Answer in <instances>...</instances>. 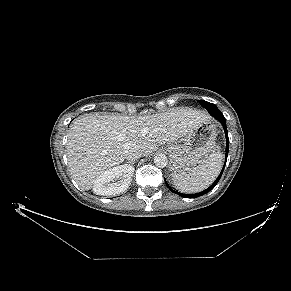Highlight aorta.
Returning <instances> with one entry per match:
<instances>
[{"label": "aorta", "mask_w": 291, "mask_h": 291, "mask_svg": "<svg viewBox=\"0 0 291 291\" xmlns=\"http://www.w3.org/2000/svg\"><path fill=\"white\" fill-rule=\"evenodd\" d=\"M154 163L157 167L163 168L167 165V157L163 154H157L154 157Z\"/></svg>", "instance_id": "1"}]
</instances>
